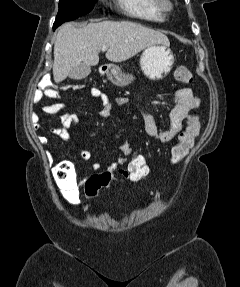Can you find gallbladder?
<instances>
[{
	"label": "gallbladder",
	"instance_id": "bac80fb5",
	"mask_svg": "<svg viewBox=\"0 0 240 287\" xmlns=\"http://www.w3.org/2000/svg\"><path fill=\"white\" fill-rule=\"evenodd\" d=\"M91 72V68L89 65L85 63H80L77 67H75L73 70L69 73V78L74 80H81L86 78Z\"/></svg>",
	"mask_w": 240,
	"mask_h": 287
}]
</instances>
